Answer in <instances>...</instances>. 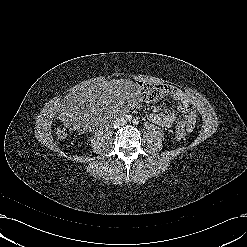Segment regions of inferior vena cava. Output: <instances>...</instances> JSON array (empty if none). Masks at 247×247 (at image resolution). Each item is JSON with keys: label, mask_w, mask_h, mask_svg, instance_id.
Instances as JSON below:
<instances>
[{"label": "inferior vena cava", "mask_w": 247, "mask_h": 247, "mask_svg": "<svg viewBox=\"0 0 247 247\" xmlns=\"http://www.w3.org/2000/svg\"><path fill=\"white\" fill-rule=\"evenodd\" d=\"M126 123V120L124 118H121V119H117L114 123V126L116 127H120V126H123L125 125Z\"/></svg>", "instance_id": "1"}]
</instances>
